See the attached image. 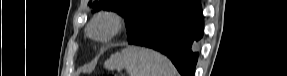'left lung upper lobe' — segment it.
Wrapping results in <instances>:
<instances>
[{"label":"left lung upper lobe","instance_id":"obj_1","mask_svg":"<svg viewBox=\"0 0 287 76\" xmlns=\"http://www.w3.org/2000/svg\"><path fill=\"white\" fill-rule=\"evenodd\" d=\"M185 0H99L89 2L91 7L112 10L125 18L127 40L140 36L148 26Z\"/></svg>","mask_w":287,"mask_h":76}]
</instances>
